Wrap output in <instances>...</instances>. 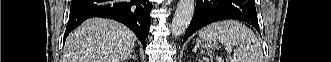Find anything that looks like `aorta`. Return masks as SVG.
<instances>
[{
  "label": "aorta",
  "instance_id": "aorta-1",
  "mask_svg": "<svg viewBox=\"0 0 331 62\" xmlns=\"http://www.w3.org/2000/svg\"><path fill=\"white\" fill-rule=\"evenodd\" d=\"M194 7V0H179L171 25L173 36L178 37L186 31L193 17Z\"/></svg>",
  "mask_w": 331,
  "mask_h": 62
}]
</instances>
